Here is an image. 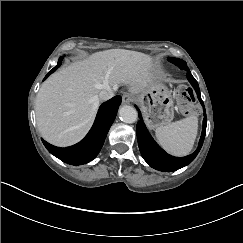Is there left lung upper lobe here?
Segmentation results:
<instances>
[{
  "label": "left lung upper lobe",
  "mask_w": 243,
  "mask_h": 243,
  "mask_svg": "<svg viewBox=\"0 0 243 243\" xmlns=\"http://www.w3.org/2000/svg\"><path fill=\"white\" fill-rule=\"evenodd\" d=\"M168 61H170L171 63L177 65V66H182V65H187L186 62L184 60L181 59H177V58H173V57H169Z\"/></svg>",
  "instance_id": "left-lung-upper-lobe-1"
}]
</instances>
